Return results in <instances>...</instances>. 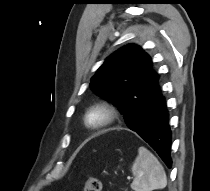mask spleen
<instances>
[{"label":"spleen","mask_w":210,"mask_h":191,"mask_svg":"<svg viewBox=\"0 0 210 191\" xmlns=\"http://www.w3.org/2000/svg\"><path fill=\"white\" fill-rule=\"evenodd\" d=\"M134 191L163 189L167 185L166 173L158 159L145 147L138 149V156L132 165Z\"/></svg>","instance_id":"1"}]
</instances>
